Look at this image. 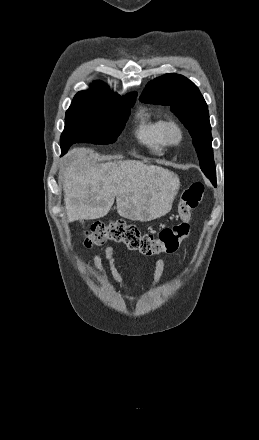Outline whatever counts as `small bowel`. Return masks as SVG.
Segmentation results:
<instances>
[{
    "label": "small bowel",
    "mask_w": 259,
    "mask_h": 440,
    "mask_svg": "<svg viewBox=\"0 0 259 440\" xmlns=\"http://www.w3.org/2000/svg\"><path fill=\"white\" fill-rule=\"evenodd\" d=\"M104 257L105 260L108 263V267L112 276V279L114 280V282L116 284H118L120 287L124 286V281L121 277V275L119 274L116 266H115V260H114V248L112 246H107L104 250ZM92 265L94 267V269H96L100 275L102 280L105 283H110V279L107 276V274L103 271L102 268V259L98 254H95L93 257V261H92ZM167 268V264L163 259H159L156 261L155 264V269H154V273H153V280L152 283L150 285V289H154L160 282L161 277L164 273V271Z\"/></svg>",
    "instance_id": "small-bowel-1"
}]
</instances>
